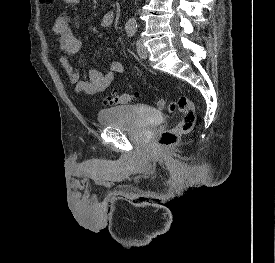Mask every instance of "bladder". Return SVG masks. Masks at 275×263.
<instances>
[{
    "instance_id": "31cf9c89",
    "label": "bladder",
    "mask_w": 275,
    "mask_h": 263,
    "mask_svg": "<svg viewBox=\"0 0 275 263\" xmlns=\"http://www.w3.org/2000/svg\"><path fill=\"white\" fill-rule=\"evenodd\" d=\"M160 120V112L148 105L116 106L97 113V122L100 126L124 130H141L158 125Z\"/></svg>"
}]
</instances>
